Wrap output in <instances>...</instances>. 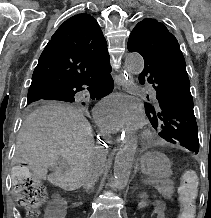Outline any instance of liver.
Listing matches in <instances>:
<instances>
[{
    "label": "liver",
    "mask_w": 211,
    "mask_h": 218,
    "mask_svg": "<svg viewBox=\"0 0 211 218\" xmlns=\"http://www.w3.org/2000/svg\"><path fill=\"white\" fill-rule=\"evenodd\" d=\"M16 144L32 174L62 190L80 188L98 160L103 168L104 158L94 146L88 120L81 110L67 104H49L34 110L24 120ZM59 160H65L68 172L56 168L47 176L48 168H54Z\"/></svg>",
    "instance_id": "liver-1"
}]
</instances>
